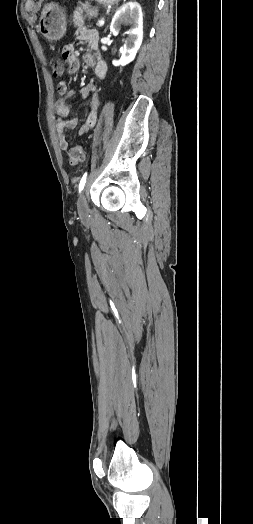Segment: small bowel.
<instances>
[{"mask_svg": "<svg viewBox=\"0 0 253 524\" xmlns=\"http://www.w3.org/2000/svg\"><path fill=\"white\" fill-rule=\"evenodd\" d=\"M76 34L75 38L78 41H83L88 44L91 52L83 54V60L86 65L93 68L94 80L79 90H68L67 85L69 80L62 76L58 80V92L66 95L68 98L80 96L88 100V112L85 123L79 130V135L85 134L89 129L95 127L97 123V112L99 109V98L95 93V82L103 80L108 71L107 63L104 60L98 46L99 35L98 32L92 28L83 25L80 20L75 22ZM66 66L64 71L71 75L76 73L80 68V62L75 54L74 46L72 44L65 46L62 54ZM56 112L58 115L56 122V133L59 139V146L63 151L68 150V142L65 136V129H73L77 125V119L70 116V109L66 99L62 98L56 102Z\"/></svg>", "mask_w": 253, "mask_h": 524, "instance_id": "obj_1", "label": "small bowel"}]
</instances>
